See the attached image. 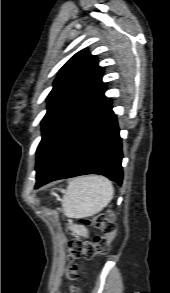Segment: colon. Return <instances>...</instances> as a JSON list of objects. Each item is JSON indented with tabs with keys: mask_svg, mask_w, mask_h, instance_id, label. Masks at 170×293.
<instances>
[{
	"mask_svg": "<svg viewBox=\"0 0 170 293\" xmlns=\"http://www.w3.org/2000/svg\"><path fill=\"white\" fill-rule=\"evenodd\" d=\"M89 221L101 229L102 235L95 237L93 240H72L68 242V257L71 261L67 270L69 280L78 277L77 267L73 263L74 260H91L96 255L107 253L110 243L116 236L117 226L111 214L101 213Z\"/></svg>",
	"mask_w": 170,
	"mask_h": 293,
	"instance_id": "5ec220e1",
	"label": "colon"
}]
</instances>
